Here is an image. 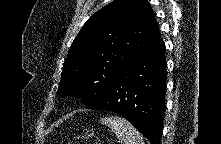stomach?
I'll list each match as a JSON object with an SVG mask.
<instances>
[{
  "instance_id": "0dacf381",
  "label": "stomach",
  "mask_w": 221,
  "mask_h": 144,
  "mask_svg": "<svg viewBox=\"0 0 221 144\" xmlns=\"http://www.w3.org/2000/svg\"><path fill=\"white\" fill-rule=\"evenodd\" d=\"M92 136H93V132H92V133L87 132V133L85 134V138H86V139H88V138H90V137H92Z\"/></svg>"
}]
</instances>
